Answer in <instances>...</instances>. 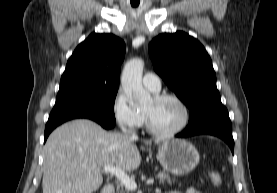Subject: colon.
<instances>
[{"label":"colon","instance_id":"5ec220e1","mask_svg":"<svg viewBox=\"0 0 277 193\" xmlns=\"http://www.w3.org/2000/svg\"><path fill=\"white\" fill-rule=\"evenodd\" d=\"M209 179L215 187H220L223 184L222 175L217 171H210Z\"/></svg>","mask_w":277,"mask_h":193}]
</instances>
